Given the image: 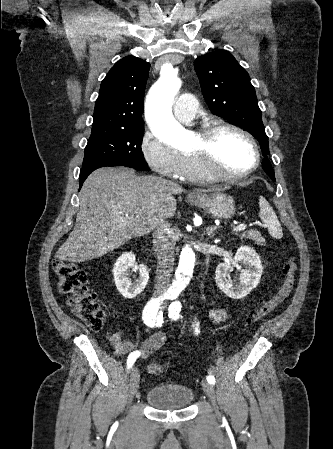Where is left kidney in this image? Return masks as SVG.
Masks as SVG:
<instances>
[{"mask_svg":"<svg viewBox=\"0 0 333 449\" xmlns=\"http://www.w3.org/2000/svg\"><path fill=\"white\" fill-rule=\"evenodd\" d=\"M240 266L239 285H235L229 272L233 266ZM263 272L262 263L256 251L248 246H241L229 263H220L216 268V285L230 298L240 299L247 296L260 282Z\"/></svg>","mask_w":333,"mask_h":449,"instance_id":"1","label":"left kidney"}]
</instances>
